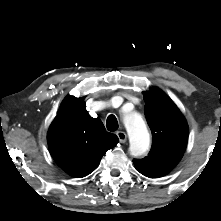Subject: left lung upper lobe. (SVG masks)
<instances>
[{"label": "left lung upper lobe", "instance_id": "5c2ea615", "mask_svg": "<svg viewBox=\"0 0 221 221\" xmlns=\"http://www.w3.org/2000/svg\"><path fill=\"white\" fill-rule=\"evenodd\" d=\"M145 116L152 131V148L143 159H134L144 176L158 178L181 160L187 145L188 125L174 102L158 88L144 92Z\"/></svg>", "mask_w": 221, "mask_h": 221}]
</instances>
